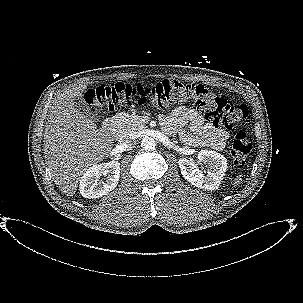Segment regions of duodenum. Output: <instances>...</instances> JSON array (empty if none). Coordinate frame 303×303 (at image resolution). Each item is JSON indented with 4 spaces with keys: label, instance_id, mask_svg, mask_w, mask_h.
I'll return each mask as SVG.
<instances>
[{
    "label": "duodenum",
    "instance_id": "410a0bca",
    "mask_svg": "<svg viewBox=\"0 0 303 303\" xmlns=\"http://www.w3.org/2000/svg\"><path fill=\"white\" fill-rule=\"evenodd\" d=\"M114 127H115L114 120L110 119V120L108 121V123L106 124V128H107L108 130H111V129L114 128Z\"/></svg>",
    "mask_w": 303,
    "mask_h": 303
}]
</instances>
